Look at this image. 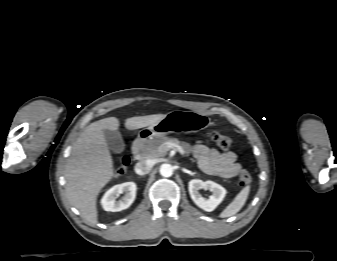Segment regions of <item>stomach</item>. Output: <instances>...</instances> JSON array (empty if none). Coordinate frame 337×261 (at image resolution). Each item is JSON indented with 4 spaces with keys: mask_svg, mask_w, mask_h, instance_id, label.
I'll list each match as a JSON object with an SVG mask.
<instances>
[{
    "mask_svg": "<svg viewBox=\"0 0 337 261\" xmlns=\"http://www.w3.org/2000/svg\"><path fill=\"white\" fill-rule=\"evenodd\" d=\"M211 124L210 118L196 111L174 110L140 132V137L158 138L165 135L196 133ZM144 135V136H143Z\"/></svg>",
    "mask_w": 337,
    "mask_h": 261,
    "instance_id": "obj_1",
    "label": "stomach"
}]
</instances>
